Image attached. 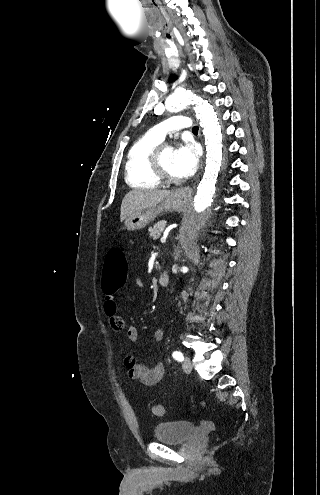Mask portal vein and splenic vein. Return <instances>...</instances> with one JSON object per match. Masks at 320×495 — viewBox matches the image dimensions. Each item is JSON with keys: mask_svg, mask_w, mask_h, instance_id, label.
Here are the masks:
<instances>
[{"mask_svg": "<svg viewBox=\"0 0 320 495\" xmlns=\"http://www.w3.org/2000/svg\"><path fill=\"white\" fill-rule=\"evenodd\" d=\"M165 241H166V237H162L161 242H165Z\"/></svg>", "mask_w": 320, "mask_h": 495, "instance_id": "portal-vein-and-splenic-vein-1", "label": "portal vein and splenic vein"}]
</instances>
